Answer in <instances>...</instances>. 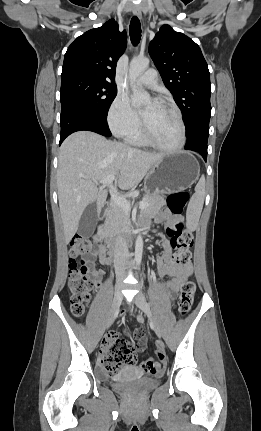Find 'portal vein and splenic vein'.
I'll use <instances>...</instances> for the list:
<instances>
[{"label": "portal vein and splenic vein", "instance_id": "obj_1", "mask_svg": "<svg viewBox=\"0 0 261 431\" xmlns=\"http://www.w3.org/2000/svg\"><path fill=\"white\" fill-rule=\"evenodd\" d=\"M114 180H115V176L109 175L106 178L100 180L99 183L109 187V192H110L111 198L115 204H117L118 206L122 207L123 209L129 211L131 209V204H130V202H128V200H126V198H124L118 194L117 190L113 186ZM147 206H148V203H146L144 201L139 203V208H141V209H143Z\"/></svg>", "mask_w": 261, "mask_h": 431}]
</instances>
